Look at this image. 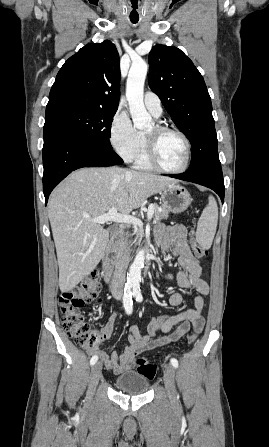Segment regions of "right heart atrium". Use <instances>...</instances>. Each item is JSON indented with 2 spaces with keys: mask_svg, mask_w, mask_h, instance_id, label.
Here are the masks:
<instances>
[{
  "mask_svg": "<svg viewBox=\"0 0 269 447\" xmlns=\"http://www.w3.org/2000/svg\"><path fill=\"white\" fill-rule=\"evenodd\" d=\"M109 141L122 158L133 160L138 150L139 133L133 127L129 115L120 109L112 117Z\"/></svg>",
  "mask_w": 269,
  "mask_h": 447,
  "instance_id": "1",
  "label": "right heart atrium"
}]
</instances>
